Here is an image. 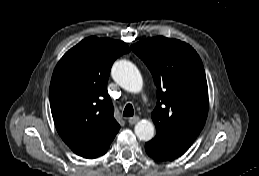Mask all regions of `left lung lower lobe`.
I'll use <instances>...</instances> for the list:
<instances>
[{
  "label": "left lung lower lobe",
  "mask_w": 259,
  "mask_h": 176,
  "mask_svg": "<svg viewBox=\"0 0 259 176\" xmlns=\"http://www.w3.org/2000/svg\"><path fill=\"white\" fill-rule=\"evenodd\" d=\"M145 150L147 152V154L152 157L155 160L158 161H168V160H173L175 158H171L169 156L166 155H162L161 153H159L158 151H154L148 144V142L145 144Z\"/></svg>",
  "instance_id": "1"
}]
</instances>
